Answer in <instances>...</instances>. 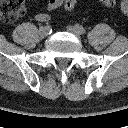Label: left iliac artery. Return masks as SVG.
Segmentation results:
<instances>
[{"label": "left iliac artery", "mask_w": 128, "mask_h": 128, "mask_svg": "<svg viewBox=\"0 0 128 128\" xmlns=\"http://www.w3.org/2000/svg\"><path fill=\"white\" fill-rule=\"evenodd\" d=\"M75 27L80 32V34H85L86 33V30L84 29V27L82 25L76 24Z\"/></svg>", "instance_id": "left-iliac-artery-1"}]
</instances>
